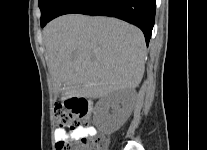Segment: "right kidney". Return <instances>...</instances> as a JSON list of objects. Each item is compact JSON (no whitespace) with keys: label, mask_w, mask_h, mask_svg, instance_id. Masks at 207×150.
Masks as SVG:
<instances>
[{"label":"right kidney","mask_w":207,"mask_h":150,"mask_svg":"<svg viewBox=\"0 0 207 150\" xmlns=\"http://www.w3.org/2000/svg\"><path fill=\"white\" fill-rule=\"evenodd\" d=\"M132 92L128 89L115 91L101 98L95 107V119L107 134L117 131L131 113Z\"/></svg>","instance_id":"ca27d5eb"}]
</instances>
